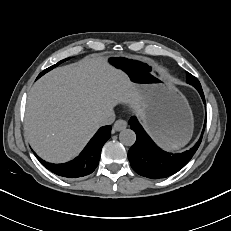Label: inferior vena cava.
Here are the masks:
<instances>
[{
	"mask_svg": "<svg viewBox=\"0 0 231 231\" xmlns=\"http://www.w3.org/2000/svg\"><path fill=\"white\" fill-rule=\"evenodd\" d=\"M114 120H115V114L112 110L100 118L99 125L100 126L109 125L112 124Z\"/></svg>",
	"mask_w": 231,
	"mask_h": 231,
	"instance_id": "inferior-vena-cava-1",
	"label": "inferior vena cava"
}]
</instances>
